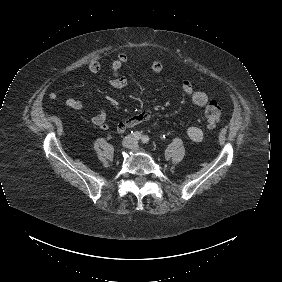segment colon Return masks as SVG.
<instances>
[{"label":"colon","mask_w":282,"mask_h":282,"mask_svg":"<svg viewBox=\"0 0 282 282\" xmlns=\"http://www.w3.org/2000/svg\"><path fill=\"white\" fill-rule=\"evenodd\" d=\"M204 114L208 127L214 128L221 121L222 108L216 100H208L205 105Z\"/></svg>","instance_id":"colon-1"}]
</instances>
